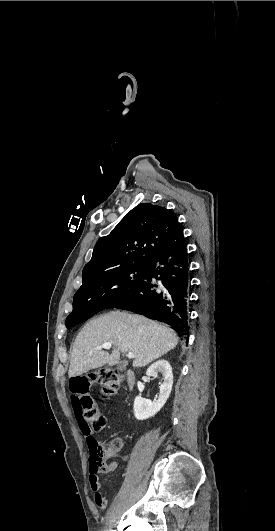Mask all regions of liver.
I'll list each match as a JSON object with an SVG mask.
<instances>
[{
    "label": "liver",
    "instance_id": "obj_1",
    "mask_svg": "<svg viewBox=\"0 0 275 531\" xmlns=\"http://www.w3.org/2000/svg\"><path fill=\"white\" fill-rule=\"evenodd\" d=\"M103 343H111V355L107 351H95ZM176 345L178 337L173 329L141 315L110 311L89 321L77 335L68 377H78L103 365H118L121 353H134L133 367H146Z\"/></svg>",
    "mask_w": 275,
    "mask_h": 531
}]
</instances>
